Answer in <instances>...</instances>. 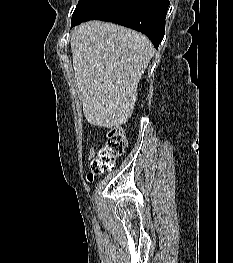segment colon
<instances>
[{
    "mask_svg": "<svg viewBox=\"0 0 233 263\" xmlns=\"http://www.w3.org/2000/svg\"><path fill=\"white\" fill-rule=\"evenodd\" d=\"M128 145L125 131L120 126L111 127L106 131V140L97 156L91 162V173L88 176L92 180L94 175L111 170L115 160L123 154Z\"/></svg>",
    "mask_w": 233,
    "mask_h": 263,
    "instance_id": "colon-1",
    "label": "colon"
}]
</instances>
